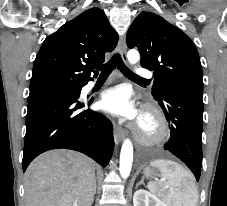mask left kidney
Returning <instances> with one entry per match:
<instances>
[{"label": "left kidney", "instance_id": "left-kidney-1", "mask_svg": "<svg viewBox=\"0 0 227 206\" xmlns=\"http://www.w3.org/2000/svg\"><path fill=\"white\" fill-rule=\"evenodd\" d=\"M133 204L134 206H167L156 195L144 189L135 191Z\"/></svg>", "mask_w": 227, "mask_h": 206}]
</instances>
